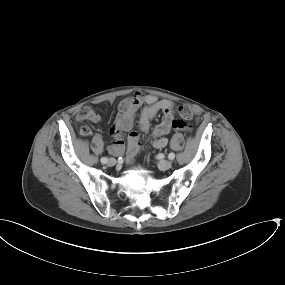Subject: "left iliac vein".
Segmentation results:
<instances>
[{"label": "left iliac vein", "instance_id": "4c4485c4", "mask_svg": "<svg viewBox=\"0 0 285 285\" xmlns=\"http://www.w3.org/2000/svg\"><path fill=\"white\" fill-rule=\"evenodd\" d=\"M171 165L172 163L169 160H160V162L158 163V167L162 171L168 170L169 168H171Z\"/></svg>", "mask_w": 285, "mask_h": 285}]
</instances>
